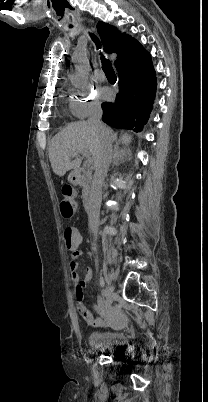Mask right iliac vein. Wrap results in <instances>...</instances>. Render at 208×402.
Returning <instances> with one entry per match:
<instances>
[{"label": "right iliac vein", "instance_id": "1", "mask_svg": "<svg viewBox=\"0 0 208 402\" xmlns=\"http://www.w3.org/2000/svg\"><path fill=\"white\" fill-rule=\"evenodd\" d=\"M107 290H108V299H107L108 306L111 307V305H112V303L114 301V298H115V294H114V291H113L111 286H108Z\"/></svg>", "mask_w": 208, "mask_h": 402}]
</instances>
